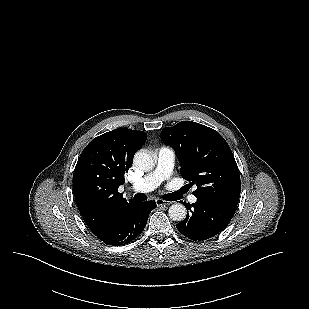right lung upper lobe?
<instances>
[{
  "mask_svg": "<svg viewBox=\"0 0 309 309\" xmlns=\"http://www.w3.org/2000/svg\"><path fill=\"white\" fill-rule=\"evenodd\" d=\"M146 139L143 131L115 129L94 138L81 153L73 173V193L92 232L132 202H127L118 188Z\"/></svg>",
  "mask_w": 309,
  "mask_h": 309,
  "instance_id": "obj_1",
  "label": "right lung upper lobe"
}]
</instances>
